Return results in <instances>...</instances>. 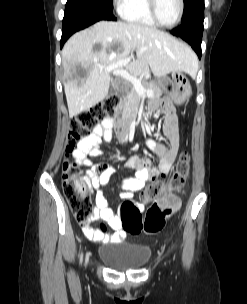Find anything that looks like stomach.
Returning a JSON list of instances; mask_svg holds the SVG:
<instances>
[{
    "mask_svg": "<svg viewBox=\"0 0 247 304\" xmlns=\"http://www.w3.org/2000/svg\"><path fill=\"white\" fill-rule=\"evenodd\" d=\"M162 87L176 105L183 104L191 95L190 82L182 72H172V80Z\"/></svg>",
    "mask_w": 247,
    "mask_h": 304,
    "instance_id": "0dacf381",
    "label": "stomach"
}]
</instances>
